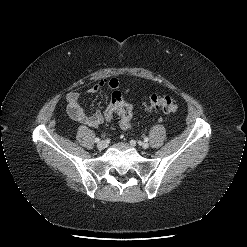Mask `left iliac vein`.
I'll use <instances>...</instances> for the list:
<instances>
[{
	"label": "left iliac vein",
	"instance_id": "1",
	"mask_svg": "<svg viewBox=\"0 0 247 247\" xmlns=\"http://www.w3.org/2000/svg\"><path fill=\"white\" fill-rule=\"evenodd\" d=\"M141 146L142 148L147 149L149 147V144L147 142H143Z\"/></svg>",
	"mask_w": 247,
	"mask_h": 247
}]
</instances>
